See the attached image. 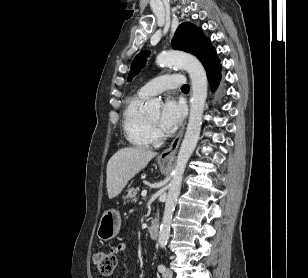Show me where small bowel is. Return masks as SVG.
<instances>
[{"instance_id": "obj_1", "label": "small bowel", "mask_w": 308, "mask_h": 278, "mask_svg": "<svg viewBox=\"0 0 308 278\" xmlns=\"http://www.w3.org/2000/svg\"><path fill=\"white\" fill-rule=\"evenodd\" d=\"M127 250H128V246L126 242H120L117 245L111 247L110 249V251L115 255H121L123 253H126Z\"/></svg>"}]
</instances>
